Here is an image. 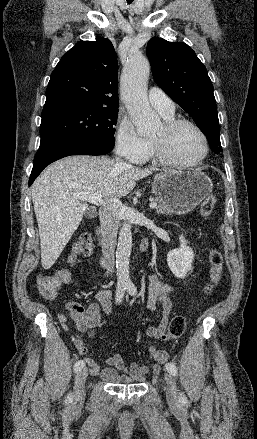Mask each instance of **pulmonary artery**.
Listing matches in <instances>:
<instances>
[{
    "mask_svg": "<svg viewBox=\"0 0 257 439\" xmlns=\"http://www.w3.org/2000/svg\"><path fill=\"white\" fill-rule=\"evenodd\" d=\"M148 100L162 116L174 115L175 107L172 100L160 88H150L148 92Z\"/></svg>",
    "mask_w": 257,
    "mask_h": 439,
    "instance_id": "pulmonary-artery-1",
    "label": "pulmonary artery"
}]
</instances>
